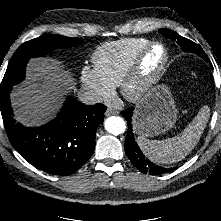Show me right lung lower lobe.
Masks as SVG:
<instances>
[{
    "label": "right lung lower lobe",
    "mask_w": 221,
    "mask_h": 221,
    "mask_svg": "<svg viewBox=\"0 0 221 221\" xmlns=\"http://www.w3.org/2000/svg\"><path fill=\"white\" fill-rule=\"evenodd\" d=\"M11 88L1 89L0 107L15 150L36 168L53 175L66 176L80 169L94 151L96 130L103 122L106 106H87L70 97L53 121L27 128L13 118Z\"/></svg>",
    "instance_id": "obj_1"
}]
</instances>
